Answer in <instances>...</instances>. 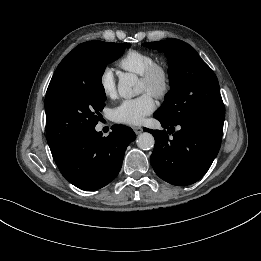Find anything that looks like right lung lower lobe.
<instances>
[{"label":"right lung lower lobe","instance_id":"1","mask_svg":"<svg viewBox=\"0 0 261 261\" xmlns=\"http://www.w3.org/2000/svg\"><path fill=\"white\" fill-rule=\"evenodd\" d=\"M109 136L94 128L79 133L51 151L62 175L82 190L104 187L118 175L125 150L136 135L130 127L114 125Z\"/></svg>","mask_w":261,"mask_h":261}]
</instances>
